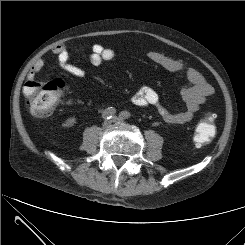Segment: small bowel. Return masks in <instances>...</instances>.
<instances>
[{"label": "small bowel", "instance_id": "1", "mask_svg": "<svg viewBox=\"0 0 245 245\" xmlns=\"http://www.w3.org/2000/svg\"><path fill=\"white\" fill-rule=\"evenodd\" d=\"M51 53L58 59V65L68 74L84 78L86 72L83 68L74 65L70 61V54L65 45H57L52 48ZM115 57V51L111 48L96 44L90 54V63L94 66L100 65L103 61H110ZM148 58L155 64L164 67L166 70L183 74L186 84L182 88L184 107L179 111H171L165 107L152 89H142L134 94L131 103L138 107H153L161 115L163 120L170 124H184L191 121L201 106L213 94V87L206 81L203 75L196 69L186 66L179 60L167 56L158 51L148 53ZM44 60L39 59L35 62L28 76V80H34L35 76L44 67Z\"/></svg>", "mask_w": 245, "mask_h": 245}]
</instances>
